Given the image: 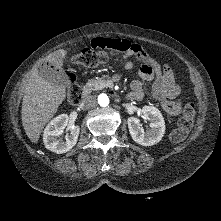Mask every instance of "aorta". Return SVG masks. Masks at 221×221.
<instances>
[{"label": "aorta", "instance_id": "1", "mask_svg": "<svg viewBox=\"0 0 221 221\" xmlns=\"http://www.w3.org/2000/svg\"><path fill=\"white\" fill-rule=\"evenodd\" d=\"M98 103L102 107L107 106L109 104V97L106 94H100L98 96Z\"/></svg>", "mask_w": 221, "mask_h": 221}]
</instances>
